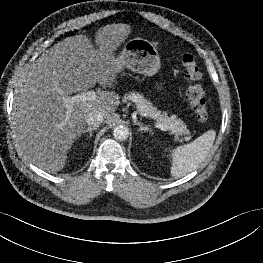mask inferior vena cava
<instances>
[{
	"label": "inferior vena cava",
	"instance_id": "inferior-vena-cava-1",
	"mask_svg": "<svg viewBox=\"0 0 263 263\" xmlns=\"http://www.w3.org/2000/svg\"><path fill=\"white\" fill-rule=\"evenodd\" d=\"M104 120V115L98 110L90 111L86 117V123L89 126L97 128Z\"/></svg>",
	"mask_w": 263,
	"mask_h": 263
}]
</instances>
